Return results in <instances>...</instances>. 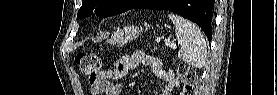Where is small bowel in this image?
I'll use <instances>...</instances> for the list:
<instances>
[{"label":"small bowel","instance_id":"obj_1","mask_svg":"<svg viewBox=\"0 0 277 95\" xmlns=\"http://www.w3.org/2000/svg\"><path fill=\"white\" fill-rule=\"evenodd\" d=\"M138 65L148 66L153 74L162 81L171 82L175 78L172 71L161 66V61L159 59L152 57L143 51H134L121 57L112 69L100 72L98 76L91 80V94L120 95L122 86L116 81L126 76ZM172 88V83L166 84L161 88L159 95H170V90Z\"/></svg>","mask_w":277,"mask_h":95}]
</instances>
